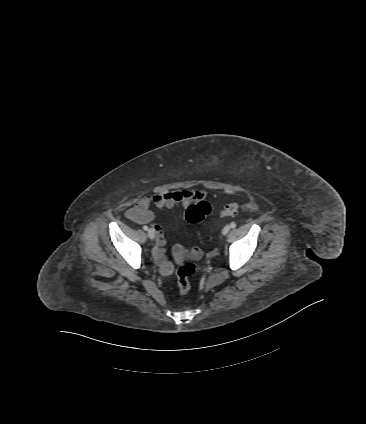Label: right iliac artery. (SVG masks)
Here are the masks:
<instances>
[{
  "mask_svg": "<svg viewBox=\"0 0 366 424\" xmlns=\"http://www.w3.org/2000/svg\"><path fill=\"white\" fill-rule=\"evenodd\" d=\"M143 229L147 231L148 230V226H143Z\"/></svg>",
  "mask_w": 366,
  "mask_h": 424,
  "instance_id": "right-iliac-artery-1",
  "label": "right iliac artery"
}]
</instances>
